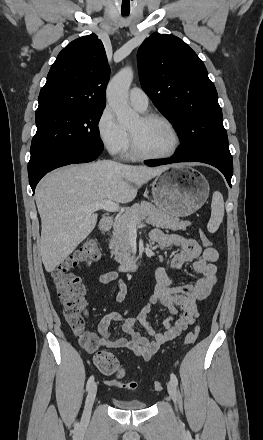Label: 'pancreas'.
I'll return each mask as SVG.
<instances>
[{"instance_id": "cf45deb5", "label": "pancreas", "mask_w": 263, "mask_h": 440, "mask_svg": "<svg viewBox=\"0 0 263 440\" xmlns=\"http://www.w3.org/2000/svg\"><path fill=\"white\" fill-rule=\"evenodd\" d=\"M144 219L155 227L173 231L186 230V227L191 225L190 221H182L170 216L150 202L134 204L114 221L109 248L118 263L126 264L133 260L129 244L130 225L131 222L139 224Z\"/></svg>"}]
</instances>
